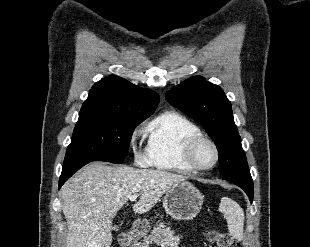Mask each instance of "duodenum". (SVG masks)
Listing matches in <instances>:
<instances>
[{
  "mask_svg": "<svg viewBox=\"0 0 310 247\" xmlns=\"http://www.w3.org/2000/svg\"><path fill=\"white\" fill-rule=\"evenodd\" d=\"M120 244L122 247H131L132 238L129 233H122L120 236Z\"/></svg>",
  "mask_w": 310,
  "mask_h": 247,
  "instance_id": "duodenum-1",
  "label": "duodenum"
}]
</instances>
